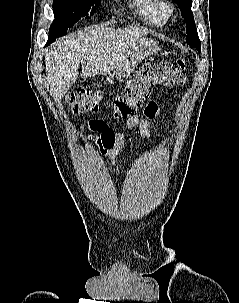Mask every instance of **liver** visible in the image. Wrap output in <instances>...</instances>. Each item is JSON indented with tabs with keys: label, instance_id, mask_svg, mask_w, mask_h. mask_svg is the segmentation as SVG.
<instances>
[{
	"label": "liver",
	"instance_id": "1",
	"mask_svg": "<svg viewBox=\"0 0 239 303\" xmlns=\"http://www.w3.org/2000/svg\"><path fill=\"white\" fill-rule=\"evenodd\" d=\"M147 34L138 28L97 26L57 41L45 55L47 81L54 99L59 101L76 82L80 63L84 78L108 74Z\"/></svg>",
	"mask_w": 239,
	"mask_h": 303
}]
</instances>
